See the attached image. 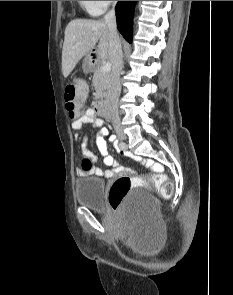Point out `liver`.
<instances>
[{"label":"liver","mask_w":233,"mask_h":295,"mask_svg":"<svg viewBox=\"0 0 233 295\" xmlns=\"http://www.w3.org/2000/svg\"><path fill=\"white\" fill-rule=\"evenodd\" d=\"M99 40L97 58L109 57L110 32L103 20L75 19L68 23L62 49V73L66 78L79 60L90 52Z\"/></svg>","instance_id":"obj_1"}]
</instances>
